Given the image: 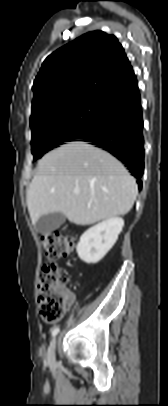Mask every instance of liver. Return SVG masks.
<instances>
[{
    "instance_id": "6515ba94",
    "label": "liver",
    "mask_w": 168,
    "mask_h": 406,
    "mask_svg": "<svg viewBox=\"0 0 168 406\" xmlns=\"http://www.w3.org/2000/svg\"><path fill=\"white\" fill-rule=\"evenodd\" d=\"M79 189L78 194L73 193ZM138 193L135 179L111 154L86 142L64 144L39 160L27 191L30 218L62 213L88 225L127 214Z\"/></svg>"
}]
</instances>
